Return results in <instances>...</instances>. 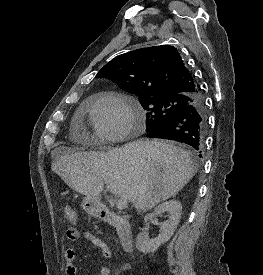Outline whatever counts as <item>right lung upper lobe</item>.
<instances>
[{
	"label": "right lung upper lobe",
	"mask_w": 263,
	"mask_h": 275,
	"mask_svg": "<svg viewBox=\"0 0 263 275\" xmlns=\"http://www.w3.org/2000/svg\"><path fill=\"white\" fill-rule=\"evenodd\" d=\"M97 77L110 79L137 96L200 93L178 50L161 45L120 55L101 68Z\"/></svg>",
	"instance_id": "obj_1"
}]
</instances>
